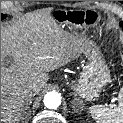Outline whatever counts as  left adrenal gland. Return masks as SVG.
<instances>
[{"instance_id": "obj_1", "label": "left adrenal gland", "mask_w": 123, "mask_h": 123, "mask_svg": "<svg viewBox=\"0 0 123 123\" xmlns=\"http://www.w3.org/2000/svg\"><path fill=\"white\" fill-rule=\"evenodd\" d=\"M72 104H75V102L73 101ZM80 104H81V108H82V110H83V108L85 107L84 104H83V102L80 101ZM73 107H74V106H73ZM74 110H75V109H74ZM76 112H77V111H76Z\"/></svg>"}]
</instances>
